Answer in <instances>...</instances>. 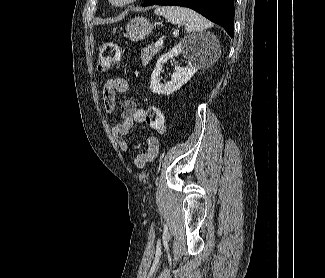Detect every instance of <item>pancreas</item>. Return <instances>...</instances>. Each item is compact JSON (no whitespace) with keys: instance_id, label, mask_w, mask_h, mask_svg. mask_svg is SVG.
<instances>
[{"instance_id":"cf45deb5","label":"pancreas","mask_w":325,"mask_h":278,"mask_svg":"<svg viewBox=\"0 0 325 278\" xmlns=\"http://www.w3.org/2000/svg\"><path fill=\"white\" fill-rule=\"evenodd\" d=\"M161 46L148 45L143 48L141 51L140 59L142 60L143 65H147L152 58L161 50Z\"/></svg>"}]
</instances>
